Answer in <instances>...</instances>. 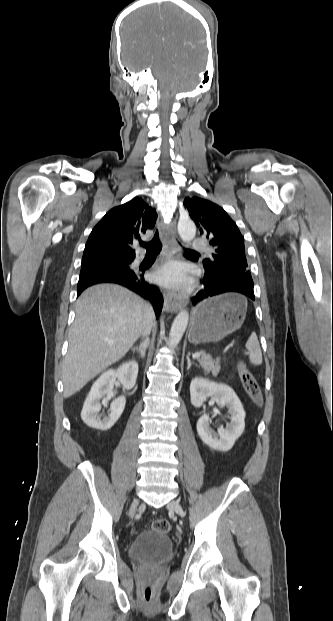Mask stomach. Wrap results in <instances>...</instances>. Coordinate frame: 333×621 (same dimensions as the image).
Returning a JSON list of instances; mask_svg holds the SVG:
<instances>
[{
	"instance_id": "obj_1",
	"label": "stomach",
	"mask_w": 333,
	"mask_h": 621,
	"mask_svg": "<svg viewBox=\"0 0 333 621\" xmlns=\"http://www.w3.org/2000/svg\"><path fill=\"white\" fill-rule=\"evenodd\" d=\"M246 316V303L238 294H223L197 305L188 339L191 343L218 342L238 330Z\"/></svg>"
}]
</instances>
